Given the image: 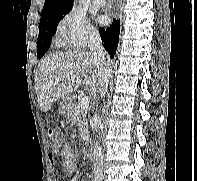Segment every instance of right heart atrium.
Masks as SVG:
<instances>
[{
	"label": "right heart atrium",
	"instance_id": "obj_1",
	"mask_svg": "<svg viewBox=\"0 0 197 181\" xmlns=\"http://www.w3.org/2000/svg\"><path fill=\"white\" fill-rule=\"evenodd\" d=\"M59 40L69 47L82 49L97 39L96 29L89 23L83 11L72 8L58 23Z\"/></svg>",
	"mask_w": 197,
	"mask_h": 181
}]
</instances>
